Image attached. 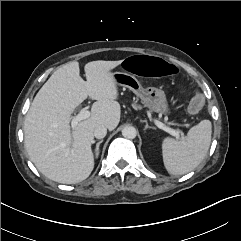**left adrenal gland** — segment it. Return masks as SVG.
<instances>
[{"instance_id": "left-adrenal-gland-1", "label": "left adrenal gland", "mask_w": 241, "mask_h": 241, "mask_svg": "<svg viewBox=\"0 0 241 241\" xmlns=\"http://www.w3.org/2000/svg\"><path fill=\"white\" fill-rule=\"evenodd\" d=\"M143 122L146 123L144 130H147V129H155L154 127L148 125L147 120H144Z\"/></svg>"}]
</instances>
